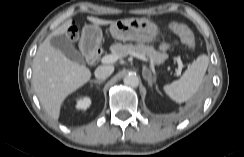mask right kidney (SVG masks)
<instances>
[{"mask_svg":"<svg viewBox=\"0 0 244 157\" xmlns=\"http://www.w3.org/2000/svg\"><path fill=\"white\" fill-rule=\"evenodd\" d=\"M91 105V99L89 97H83L77 100L76 109L87 110Z\"/></svg>","mask_w":244,"mask_h":157,"instance_id":"right-kidney-1","label":"right kidney"}]
</instances>
